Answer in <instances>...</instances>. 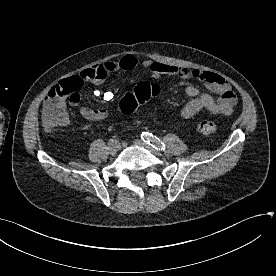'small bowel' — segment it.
Listing matches in <instances>:
<instances>
[{
	"mask_svg": "<svg viewBox=\"0 0 276 276\" xmlns=\"http://www.w3.org/2000/svg\"><path fill=\"white\" fill-rule=\"evenodd\" d=\"M147 69L151 76L155 79L161 76H170L175 78H192L203 82L206 87L215 93V96L204 93L195 86L189 85L185 88L187 96L190 100L182 108L180 115L184 119H190L200 111H207L214 115H230L237 103V97L233 92L231 85L222 76L217 73L204 71L199 69H189L175 65L154 62L149 59L140 61L138 57L132 54L123 56L118 60H109L98 63L80 72L74 78H79L82 82L91 83L93 85L102 84L108 75L122 70H132L137 66ZM94 97L109 102L113 99L112 92H103L100 90L93 91ZM50 99L47 96L44 101L43 109L49 106ZM69 104L78 108L80 114L90 121H101L108 116L106 107L91 108L81 105V96L78 93L77 98L69 99ZM65 108V102L63 103Z\"/></svg>",
	"mask_w": 276,
	"mask_h": 276,
	"instance_id": "c3829d8e",
	"label": "small bowel"
}]
</instances>
